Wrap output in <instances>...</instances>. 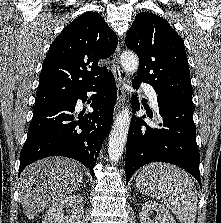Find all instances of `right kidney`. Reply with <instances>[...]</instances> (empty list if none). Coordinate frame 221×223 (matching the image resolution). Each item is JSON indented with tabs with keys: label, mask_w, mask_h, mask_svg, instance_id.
Wrapping results in <instances>:
<instances>
[{
	"label": "right kidney",
	"mask_w": 221,
	"mask_h": 223,
	"mask_svg": "<svg viewBox=\"0 0 221 223\" xmlns=\"http://www.w3.org/2000/svg\"><path fill=\"white\" fill-rule=\"evenodd\" d=\"M71 213L64 215V209ZM83 215V198L74 194L55 202L45 213L42 223H81Z\"/></svg>",
	"instance_id": "right-kidney-1"
}]
</instances>
